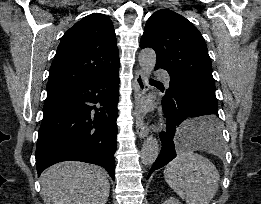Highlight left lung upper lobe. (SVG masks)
Returning a JSON list of instances; mask_svg holds the SVG:
<instances>
[{
  "mask_svg": "<svg viewBox=\"0 0 261 204\" xmlns=\"http://www.w3.org/2000/svg\"><path fill=\"white\" fill-rule=\"evenodd\" d=\"M140 47L156 52V67L168 71L170 87L194 86L216 99L212 64L199 30L185 17L169 9L153 13L146 22Z\"/></svg>",
  "mask_w": 261,
  "mask_h": 204,
  "instance_id": "left-lung-upper-lobe-1",
  "label": "left lung upper lobe"
}]
</instances>
